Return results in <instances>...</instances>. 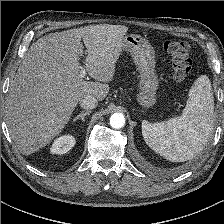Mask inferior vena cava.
<instances>
[{
    "label": "inferior vena cava",
    "instance_id": "602c4592",
    "mask_svg": "<svg viewBox=\"0 0 224 224\" xmlns=\"http://www.w3.org/2000/svg\"><path fill=\"white\" fill-rule=\"evenodd\" d=\"M83 109H94L97 106V99L93 96H85L79 101Z\"/></svg>",
    "mask_w": 224,
    "mask_h": 224
}]
</instances>
